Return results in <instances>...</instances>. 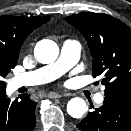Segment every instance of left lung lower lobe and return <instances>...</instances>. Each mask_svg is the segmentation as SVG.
I'll list each match as a JSON object with an SVG mask.
<instances>
[{
  "mask_svg": "<svg viewBox=\"0 0 131 131\" xmlns=\"http://www.w3.org/2000/svg\"><path fill=\"white\" fill-rule=\"evenodd\" d=\"M78 131H131V106L109 98L77 124Z\"/></svg>",
  "mask_w": 131,
  "mask_h": 131,
  "instance_id": "left-lung-lower-lobe-1",
  "label": "left lung lower lobe"
}]
</instances>
